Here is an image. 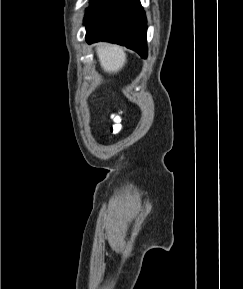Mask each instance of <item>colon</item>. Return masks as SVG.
Returning <instances> with one entry per match:
<instances>
[{
    "mask_svg": "<svg viewBox=\"0 0 243 289\" xmlns=\"http://www.w3.org/2000/svg\"><path fill=\"white\" fill-rule=\"evenodd\" d=\"M112 119L115 122L114 125L111 127V133L112 134H117L122 130V125H121V116L118 114H113Z\"/></svg>",
    "mask_w": 243,
    "mask_h": 289,
    "instance_id": "5ec220e1",
    "label": "colon"
}]
</instances>
